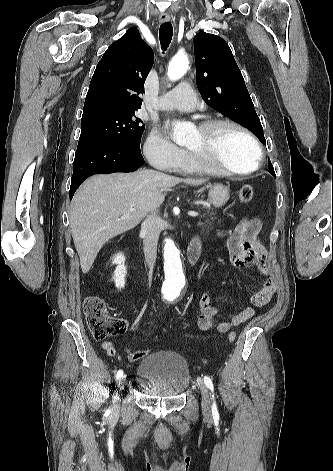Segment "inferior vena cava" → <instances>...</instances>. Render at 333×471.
I'll return each mask as SVG.
<instances>
[{"label":"inferior vena cava","instance_id":"obj_1","mask_svg":"<svg viewBox=\"0 0 333 471\" xmlns=\"http://www.w3.org/2000/svg\"><path fill=\"white\" fill-rule=\"evenodd\" d=\"M160 231L161 218L158 216L157 210H153L147 215L141 225L145 261L150 268H153L156 262Z\"/></svg>","mask_w":333,"mask_h":471}]
</instances>
